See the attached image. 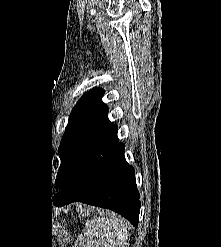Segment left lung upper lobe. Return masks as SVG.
Returning <instances> with one entry per match:
<instances>
[{
	"label": "left lung upper lobe",
	"mask_w": 221,
	"mask_h": 247,
	"mask_svg": "<svg viewBox=\"0 0 221 247\" xmlns=\"http://www.w3.org/2000/svg\"><path fill=\"white\" fill-rule=\"evenodd\" d=\"M102 88L85 93L74 106L59 146L61 159L55 183L65 189L78 174L97 138L111 125L108 108L101 100Z\"/></svg>",
	"instance_id": "1"
}]
</instances>
